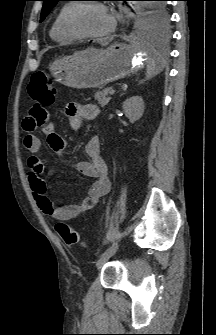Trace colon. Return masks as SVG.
Wrapping results in <instances>:
<instances>
[{
  "mask_svg": "<svg viewBox=\"0 0 216 335\" xmlns=\"http://www.w3.org/2000/svg\"><path fill=\"white\" fill-rule=\"evenodd\" d=\"M28 92L35 104H43L44 108H49L56 100V90L52 87L49 76L41 71L32 74ZM56 231L68 246H84L79 233L65 222H58Z\"/></svg>",
  "mask_w": 216,
  "mask_h": 335,
  "instance_id": "colon-1",
  "label": "colon"
}]
</instances>
